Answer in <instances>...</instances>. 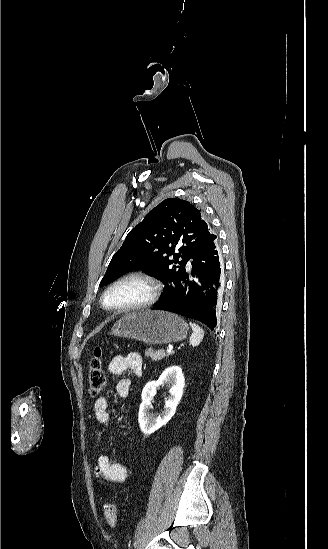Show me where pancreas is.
Listing matches in <instances>:
<instances>
[{
  "mask_svg": "<svg viewBox=\"0 0 328 549\" xmlns=\"http://www.w3.org/2000/svg\"><path fill=\"white\" fill-rule=\"evenodd\" d=\"M146 357H151L152 361H161V359H164V357H169V355H173V353H165V351H154V349H147L145 353Z\"/></svg>",
  "mask_w": 328,
  "mask_h": 549,
  "instance_id": "1",
  "label": "pancreas"
}]
</instances>
